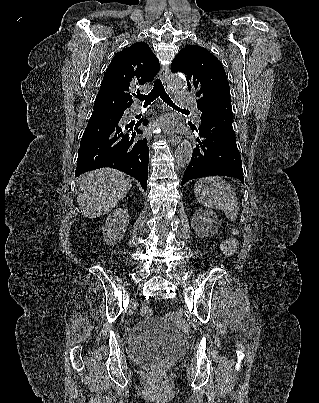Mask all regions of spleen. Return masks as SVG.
<instances>
[{"label": "spleen", "instance_id": "obj_1", "mask_svg": "<svg viewBox=\"0 0 319 403\" xmlns=\"http://www.w3.org/2000/svg\"><path fill=\"white\" fill-rule=\"evenodd\" d=\"M194 193L200 204L210 208H220L230 221H235L239 203L231 185L219 176L199 179L194 185Z\"/></svg>", "mask_w": 319, "mask_h": 403}]
</instances>
